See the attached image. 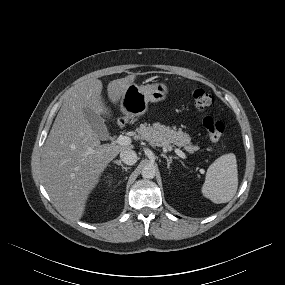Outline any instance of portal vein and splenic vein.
<instances>
[{
  "label": "portal vein and splenic vein",
  "mask_w": 285,
  "mask_h": 285,
  "mask_svg": "<svg viewBox=\"0 0 285 285\" xmlns=\"http://www.w3.org/2000/svg\"><path fill=\"white\" fill-rule=\"evenodd\" d=\"M116 143L119 144V145H124V146H127V145H130L131 144V138L127 137V136H119L116 140ZM175 153L185 159L186 158V155L184 152H182L180 149H175Z\"/></svg>",
  "instance_id": "obj_1"
}]
</instances>
